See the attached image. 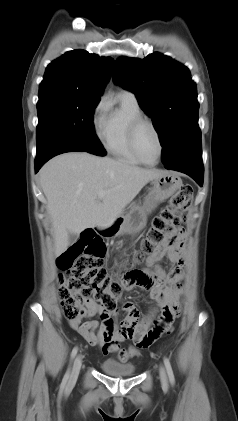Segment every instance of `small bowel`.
Listing matches in <instances>:
<instances>
[{"instance_id":"small-bowel-1","label":"small bowel","mask_w":238,"mask_h":421,"mask_svg":"<svg viewBox=\"0 0 238 421\" xmlns=\"http://www.w3.org/2000/svg\"><path fill=\"white\" fill-rule=\"evenodd\" d=\"M184 240L183 232L172 233L168 242L150 257L148 264L153 268L151 271L132 270L126 274L128 289L137 287L149 293L160 311L157 320L151 322L150 317L141 318L139 309L133 302L123 304L126 316L120 328H114L113 323L106 320H84L105 312L100 305L87 301L83 314L75 320H69L70 327L91 346L99 347L105 355L117 351L120 343L126 340H132L140 348L150 346L154 341L145 344L146 338L171 322L179 311L185 266ZM162 259L168 262L166 268L157 265Z\"/></svg>"}]
</instances>
